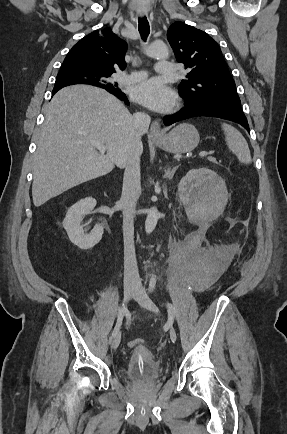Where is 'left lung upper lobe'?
<instances>
[{
    "label": "left lung upper lobe",
    "mask_w": 287,
    "mask_h": 434,
    "mask_svg": "<svg viewBox=\"0 0 287 434\" xmlns=\"http://www.w3.org/2000/svg\"><path fill=\"white\" fill-rule=\"evenodd\" d=\"M167 38L177 61L190 70L178 87L185 102H240L220 47L207 33L175 22Z\"/></svg>",
    "instance_id": "left-lung-upper-lobe-1"
}]
</instances>
